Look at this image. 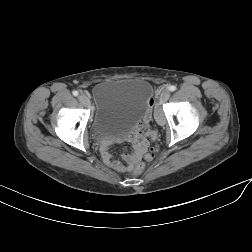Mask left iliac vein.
Returning a JSON list of instances; mask_svg holds the SVG:
<instances>
[{"mask_svg": "<svg viewBox=\"0 0 252 252\" xmlns=\"http://www.w3.org/2000/svg\"><path fill=\"white\" fill-rule=\"evenodd\" d=\"M169 97H170V92L168 90H164L161 92L159 96V100L160 102H165L169 99Z\"/></svg>", "mask_w": 252, "mask_h": 252, "instance_id": "1", "label": "left iliac vein"}]
</instances>
